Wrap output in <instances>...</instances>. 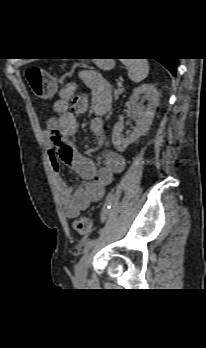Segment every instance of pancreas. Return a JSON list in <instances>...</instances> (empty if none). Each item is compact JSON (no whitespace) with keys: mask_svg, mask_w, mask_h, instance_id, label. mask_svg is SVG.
I'll return each instance as SVG.
<instances>
[{"mask_svg":"<svg viewBox=\"0 0 206 348\" xmlns=\"http://www.w3.org/2000/svg\"><path fill=\"white\" fill-rule=\"evenodd\" d=\"M124 91H125V89L122 86H120V87L118 86V88L114 90L115 99H117L119 97V95H121Z\"/></svg>","mask_w":206,"mask_h":348,"instance_id":"pancreas-1","label":"pancreas"}]
</instances>
